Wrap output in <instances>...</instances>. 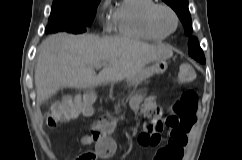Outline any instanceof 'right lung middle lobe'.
<instances>
[{
  "label": "right lung middle lobe",
  "mask_w": 242,
  "mask_h": 160,
  "mask_svg": "<svg viewBox=\"0 0 242 160\" xmlns=\"http://www.w3.org/2000/svg\"><path fill=\"white\" fill-rule=\"evenodd\" d=\"M101 0H54L46 33H82L90 26Z\"/></svg>",
  "instance_id": "obj_1"
}]
</instances>
